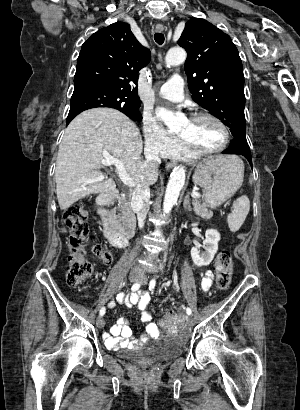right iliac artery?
<instances>
[{"label":"right iliac artery","instance_id":"82829eb1","mask_svg":"<svg viewBox=\"0 0 300 410\" xmlns=\"http://www.w3.org/2000/svg\"><path fill=\"white\" fill-rule=\"evenodd\" d=\"M139 288H140V283H135V284H133L131 290L132 291H137ZM118 295H117V297H118ZM105 311H106L105 307L101 308L100 315L103 316L105 314Z\"/></svg>","mask_w":300,"mask_h":410}]
</instances>
